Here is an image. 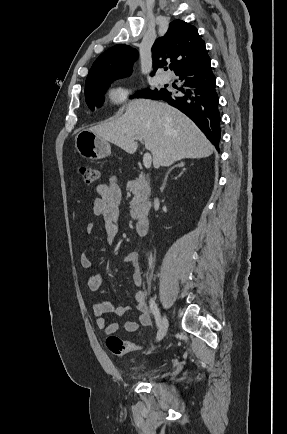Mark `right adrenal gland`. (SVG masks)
Here are the masks:
<instances>
[{"instance_id":"obj_1","label":"right adrenal gland","mask_w":287,"mask_h":434,"mask_svg":"<svg viewBox=\"0 0 287 434\" xmlns=\"http://www.w3.org/2000/svg\"><path fill=\"white\" fill-rule=\"evenodd\" d=\"M184 166H185V163L180 162V163H178L177 165L173 166L172 168H170V169L168 170V172L166 173L165 178H164V182H163V185H162V189H164V187L166 186L167 178H168V175L170 174V172H171L175 167H184ZM183 170H185V168H183Z\"/></svg>"}]
</instances>
